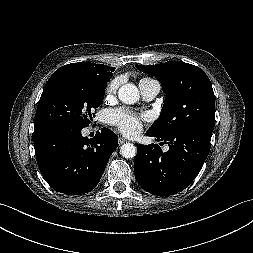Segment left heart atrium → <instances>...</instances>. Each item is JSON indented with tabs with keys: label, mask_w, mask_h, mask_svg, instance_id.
Wrapping results in <instances>:
<instances>
[{
	"label": "left heart atrium",
	"mask_w": 253,
	"mask_h": 253,
	"mask_svg": "<svg viewBox=\"0 0 253 253\" xmlns=\"http://www.w3.org/2000/svg\"><path fill=\"white\" fill-rule=\"evenodd\" d=\"M109 121L128 136L137 134L141 128L140 117L124 109L111 110L109 112Z\"/></svg>",
	"instance_id": "39dd6f15"
}]
</instances>
